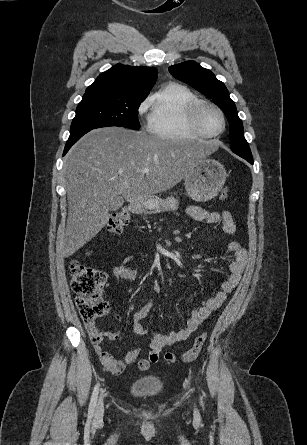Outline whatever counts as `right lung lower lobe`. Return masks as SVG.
Wrapping results in <instances>:
<instances>
[{
  "label": "right lung lower lobe",
  "instance_id": "obj_1",
  "mask_svg": "<svg viewBox=\"0 0 307 445\" xmlns=\"http://www.w3.org/2000/svg\"><path fill=\"white\" fill-rule=\"evenodd\" d=\"M89 131H90V130H88V131H84V132L79 133V134L74 135V136H70L69 139H68V141H67V143H66V146H65L63 155H65V154L68 152V150L71 148V146H72L75 142H77V141H78L84 134H86V133L89 132Z\"/></svg>",
  "mask_w": 307,
  "mask_h": 445
}]
</instances>
